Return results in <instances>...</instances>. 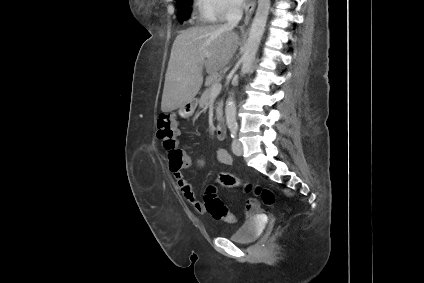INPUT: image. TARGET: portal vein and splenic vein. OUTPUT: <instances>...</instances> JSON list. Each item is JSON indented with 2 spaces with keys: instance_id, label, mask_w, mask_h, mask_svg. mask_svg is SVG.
Returning <instances> with one entry per match:
<instances>
[{
  "instance_id": "obj_1",
  "label": "portal vein and splenic vein",
  "mask_w": 424,
  "mask_h": 283,
  "mask_svg": "<svg viewBox=\"0 0 424 283\" xmlns=\"http://www.w3.org/2000/svg\"><path fill=\"white\" fill-rule=\"evenodd\" d=\"M206 55H208V54H206ZM221 89H222V85H221L220 81L215 82L211 86V96L218 95L220 93Z\"/></svg>"
}]
</instances>
